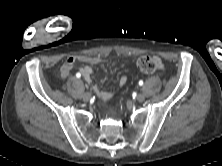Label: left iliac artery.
Listing matches in <instances>:
<instances>
[{"label": "left iliac artery", "instance_id": "obj_1", "mask_svg": "<svg viewBox=\"0 0 222 166\" xmlns=\"http://www.w3.org/2000/svg\"><path fill=\"white\" fill-rule=\"evenodd\" d=\"M139 85L140 86H142L143 85V81L141 80V81H139Z\"/></svg>", "mask_w": 222, "mask_h": 166}]
</instances>
